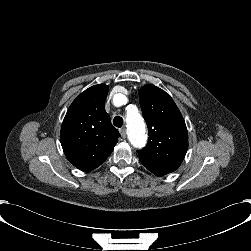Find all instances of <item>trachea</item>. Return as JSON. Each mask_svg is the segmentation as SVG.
<instances>
[{
  "mask_svg": "<svg viewBox=\"0 0 251 251\" xmlns=\"http://www.w3.org/2000/svg\"><path fill=\"white\" fill-rule=\"evenodd\" d=\"M123 123H124V121H123L122 117H120V116H116L113 120L114 126H116L118 128H121L123 126Z\"/></svg>",
  "mask_w": 251,
  "mask_h": 251,
  "instance_id": "1",
  "label": "trachea"
}]
</instances>
